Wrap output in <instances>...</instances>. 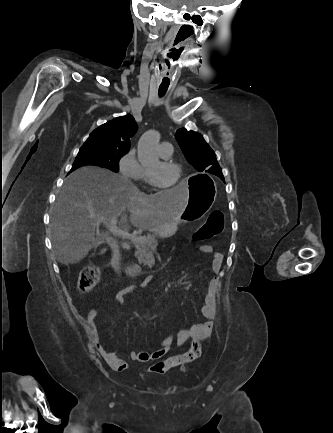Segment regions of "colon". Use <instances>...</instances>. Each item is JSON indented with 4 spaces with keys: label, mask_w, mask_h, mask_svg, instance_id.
Listing matches in <instances>:
<instances>
[{
    "label": "colon",
    "mask_w": 333,
    "mask_h": 433,
    "mask_svg": "<svg viewBox=\"0 0 333 433\" xmlns=\"http://www.w3.org/2000/svg\"><path fill=\"white\" fill-rule=\"evenodd\" d=\"M224 229V215L220 210L212 211L205 223L193 234L194 242H204L219 235ZM101 271L96 266L84 267L78 277L77 286L81 292H87L96 287L100 281ZM202 354V346L199 338H193L190 347L184 353L172 355L165 360L149 367V372L165 374L170 369L184 363H190L198 359Z\"/></svg>",
    "instance_id": "colon-1"
}]
</instances>
